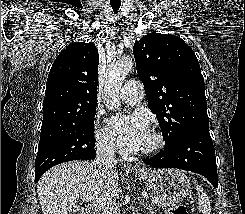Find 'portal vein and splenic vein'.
Wrapping results in <instances>:
<instances>
[{"instance_id":"portal-vein-and-splenic-vein-1","label":"portal vein and splenic vein","mask_w":245,"mask_h":214,"mask_svg":"<svg viewBox=\"0 0 245 214\" xmlns=\"http://www.w3.org/2000/svg\"><path fill=\"white\" fill-rule=\"evenodd\" d=\"M142 197L149 198L147 193H141ZM85 201L96 203L100 207H113L117 205L116 199H113L109 196L104 197H94L92 194H87L84 196Z\"/></svg>"}]
</instances>
